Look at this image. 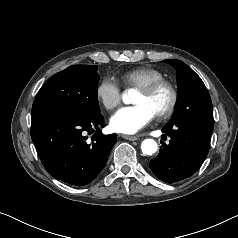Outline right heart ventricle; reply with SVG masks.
Segmentation results:
<instances>
[{
  "label": "right heart ventricle",
  "instance_id": "right-heart-ventricle-1",
  "mask_svg": "<svg viewBox=\"0 0 238 238\" xmlns=\"http://www.w3.org/2000/svg\"><path fill=\"white\" fill-rule=\"evenodd\" d=\"M127 86L142 87L156 80L164 79L161 71L152 67H138L128 70L121 75Z\"/></svg>",
  "mask_w": 238,
  "mask_h": 238
}]
</instances>
